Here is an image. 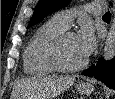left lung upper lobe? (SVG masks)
Wrapping results in <instances>:
<instances>
[{
  "instance_id": "5c2ea615",
  "label": "left lung upper lobe",
  "mask_w": 115,
  "mask_h": 99,
  "mask_svg": "<svg viewBox=\"0 0 115 99\" xmlns=\"http://www.w3.org/2000/svg\"><path fill=\"white\" fill-rule=\"evenodd\" d=\"M70 1L71 0H39L28 27L38 23L45 16L52 13L53 11H56L66 6L70 3Z\"/></svg>"
}]
</instances>
